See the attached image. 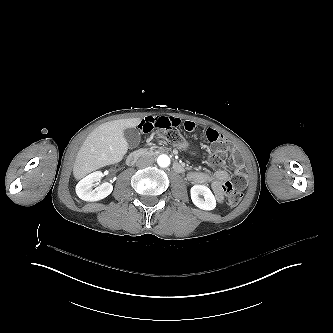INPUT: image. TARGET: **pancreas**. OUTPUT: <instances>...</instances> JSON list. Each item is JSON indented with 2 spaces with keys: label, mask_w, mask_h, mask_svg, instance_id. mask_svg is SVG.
Here are the masks:
<instances>
[{
  "label": "pancreas",
  "mask_w": 333,
  "mask_h": 333,
  "mask_svg": "<svg viewBox=\"0 0 333 333\" xmlns=\"http://www.w3.org/2000/svg\"><path fill=\"white\" fill-rule=\"evenodd\" d=\"M145 151V154L156 156L158 154L168 152L169 149L163 146H160L158 149H155L153 146H148L147 148H145Z\"/></svg>",
  "instance_id": "pancreas-1"
}]
</instances>
